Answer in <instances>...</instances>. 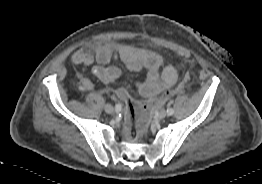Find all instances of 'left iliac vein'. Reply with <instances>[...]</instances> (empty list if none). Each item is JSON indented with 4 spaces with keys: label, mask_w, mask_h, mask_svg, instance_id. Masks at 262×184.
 Instances as JSON below:
<instances>
[{
    "label": "left iliac vein",
    "mask_w": 262,
    "mask_h": 184,
    "mask_svg": "<svg viewBox=\"0 0 262 184\" xmlns=\"http://www.w3.org/2000/svg\"><path fill=\"white\" fill-rule=\"evenodd\" d=\"M166 115H167L166 111H165V110H161V111L158 113L157 118H158L159 120H162V119H164V118L166 117Z\"/></svg>",
    "instance_id": "left-iliac-vein-1"
}]
</instances>
